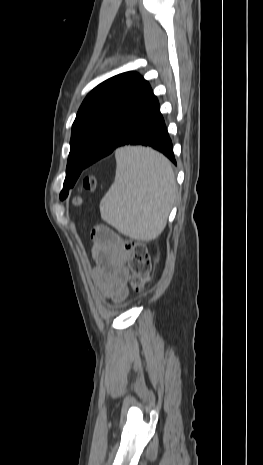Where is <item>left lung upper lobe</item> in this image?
Instances as JSON below:
<instances>
[{
	"label": "left lung upper lobe",
	"mask_w": 263,
	"mask_h": 465,
	"mask_svg": "<svg viewBox=\"0 0 263 465\" xmlns=\"http://www.w3.org/2000/svg\"><path fill=\"white\" fill-rule=\"evenodd\" d=\"M145 82L138 73L125 72L102 82L84 99L72 126L70 169L60 193L61 200L74 186L103 132L119 111L134 100Z\"/></svg>",
	"instance_id": "left-lung-upper-lobe-1"
}]
</instances>
